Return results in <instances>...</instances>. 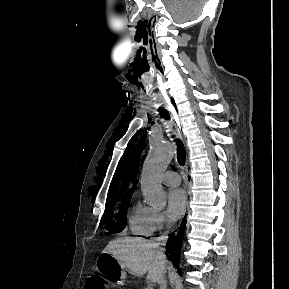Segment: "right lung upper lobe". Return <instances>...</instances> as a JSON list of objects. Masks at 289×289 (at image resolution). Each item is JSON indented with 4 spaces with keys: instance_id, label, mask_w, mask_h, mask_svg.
I'll use <instances>...</instances> for the list:
<instances>
[{
    "instance_id": "obj_1",
    "label": "right lung upper lobe",
    "mask_w": 289,
    "mask_h": 289,
    "mask_svg": "<svg viewBox=\"0 0 289 289\" xmlns=\"http://www.w3.org/2000/svg\"><path fill=\"white\" fill-rule=\"evenodd\" d=\"M128 185V181L126 183H122V188L120 190L117 191L116 193V190L111 194L110 192L108 193V196H107V204H116V202L120 201V200H123L126 201V200H129L131 199V195H132V189L128 191V195L124 194L125 193V189Z\"/></svg>"
}]
</instances>
